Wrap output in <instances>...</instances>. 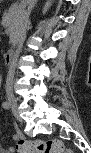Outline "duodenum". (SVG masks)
<instances>
[{
  "label": "duodenum",
  "mask_w": 91,
  "mask_h": 153,
  "mask_svg": "<svg viewBox=\"0 0 91 153\" xmlns=\"http://www.w3.org/2000/svg\"><path fill=\"white\" fill-rule=\"evenodd\" d=\"M16 57H17V50H15V49L8 50L4 54V63L6 65H10V64H12L14 62Z\"/></svg>",
  "instance_id": "410a0bca"
}]
</instances>
